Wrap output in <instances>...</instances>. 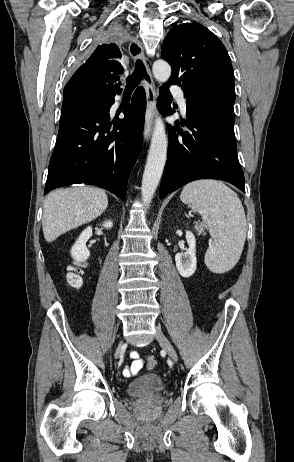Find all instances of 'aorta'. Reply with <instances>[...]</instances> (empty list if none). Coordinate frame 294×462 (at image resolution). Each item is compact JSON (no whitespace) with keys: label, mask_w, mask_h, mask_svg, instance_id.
Masks as SVG:
<instances>
[{"label":"aorta","mask_w":294,"mask_h":462,"mask_svg":"<svg viewBox=\"0 0 294 462\" xmlns=\"http://www.w3.org/2000/svg\"><path fill=\"white\" fill-rule=\"evenodd\" d=\"M152 70L155 79L160 83L166 82L171 75V66L163 60L155 61ZM167 147L165 126L161 118L157 117L141 186L142 200L147 207L150 205L162 177L167 159Z\"/></svg>","instance_id":"762f6f07"}]
</instances>
